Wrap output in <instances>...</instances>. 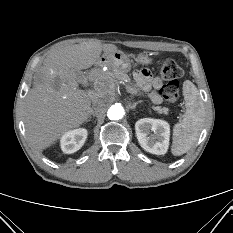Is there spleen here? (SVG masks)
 I'll use <instances>...</instances> for the list:
<instances>
[{
  "instance_id": "3e777b00",
  "label": "spleen",
  "mask_w": 233,
  "mask_h": 233,
  "mask_svg": "<svg viewBox=\"0 0 233 233\" xmlns=\"http://www.w3.org/2000/svg\"><path fill=\"white\" fill-rule=\"evenodd\" d=\"M183 95L186 112L173 128L171 151L175 156L183 155L192 148L203 127V102L197 87L189 80L183 84Z\"/></svg>"
}]
</instances>
